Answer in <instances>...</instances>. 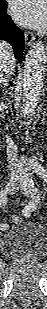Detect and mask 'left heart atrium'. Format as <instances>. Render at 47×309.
<instances>
[{
  "label": "left heart atrium",
  "instance_id": "obj_1",
  "mask_svg": "<svg viewBox=\"0 0 47 309\" xmlns=\"http://www.w3.org/2000/svg\"><path fill=\"white\" fill-rule=\"evenodd\" d=\"M10 10L23 26L39 29L47 23L46 0H13Z\"/></svg>",
  "mask_w": 47,
  "mask_h": 309
}]
</instances>
